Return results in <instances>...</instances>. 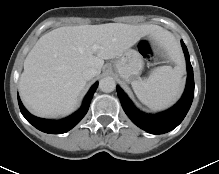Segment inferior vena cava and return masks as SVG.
I'll list each match as a JSON object with an SVG mask.
<instances>
[{"instance_id":"602c4592","label":"inferior vena cava","mask_w":219,"mask_h":174,"mask_svg":"<svg viewBox=\"0 0 219 174\" xmlns=\"http://www.w3.org/2000/svg\"><path fill=\"white\" fill-rule=\"evenodd\" d=\"M96 69L95 68H87L83 71V77L86 79V80H90L92 79L94 76H96Z\"/></svg>"}]
</instances>
